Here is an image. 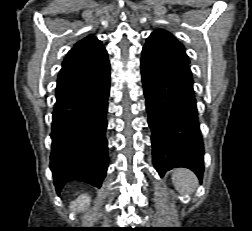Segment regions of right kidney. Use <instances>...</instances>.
<instances>
[{
  "instance_id": "1",
  "label": "right kidney",
  "mask_w": 252,
  "mask_h": 231,
  "mask_svg": "<svg viewBox=\"0 0 252 231\" xmlns=\"http://www.w3.org/2000/svg\"><path fill=\"white\" fill-rule=\"evenodd\" d=\"M91 202L88 194H81L78 198L70 204V209L77 212L85 211Z\"/></svg>"
}]
</instances>
